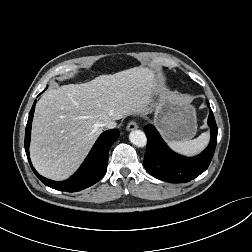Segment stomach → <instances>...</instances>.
Returning a JSON list of instances; mask_svg holds the SVG:
<instances>
[{"mask_svg": "<svg viewBox=\"0 0 252 252\" xmlns=\"http://www.w3.org/2000/svg\"><path fill=\"white\" fill-rule=\"evenodd\" d=\"M154 123L167 141H185L196 133V111L180 97L161 95Z\"/></svg>", "mask_w": 252, "mask_h": 252, "instance_id": "1", "label": "stomach"}]
</instances>
